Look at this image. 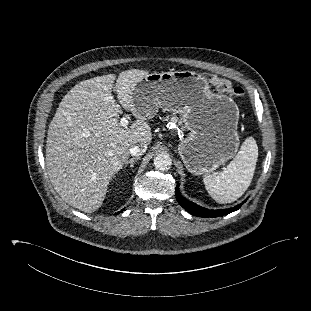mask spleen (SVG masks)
Wrapping results in <instances>:
<instances>
[{"label": "spleen", "instance_id": "1", "mask_svg": "<svg viewBox=\"0 0 311 311\" xmlns=\"http://www.w3.org/2000/svg\"><path fill=\"white\" fill-rule=\"evenodd\" d=\"M257 158L256 141L253 137H248L238 154L222 172L203 176L209 195L219 203H231L240 198L251 184Z\"/></svg>", "mask_w": 311, "mask_h": 311}]
</instances>
